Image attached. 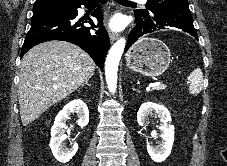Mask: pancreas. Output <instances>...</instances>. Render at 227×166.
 <instances>
[{"mask_svg": "<svg viewBox=\"0 0 227 166\" xmlns=\"http://www.w3.org/2000/svg\"><path fill=\"white\" fill-rule=\"evenodd\" d=\"M165 88H166L165 85H158V86L153 87L152 90H163Z\"/></svg>", "mask_w": 227, "mask_h": 166, "instance_id": "pancreas-1", "label": "pancreas"}]
</instances>
